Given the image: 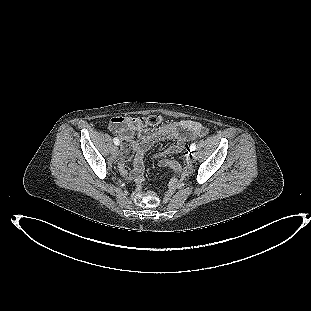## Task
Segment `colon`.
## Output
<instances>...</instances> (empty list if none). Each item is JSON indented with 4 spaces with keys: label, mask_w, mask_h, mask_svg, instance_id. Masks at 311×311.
Listing matches in <instances>:
<instances>
[{
    "label": "colon",
    "mask_w": 311,
    "mask_h": 311,
    "mask_svg": "<svg viewBox=\"0 0 311 311\" xmlns=\"http://www.w3.org/2000/svg\"><path fill=\"white\" fill-rule=\"evenodd\" d=\"M161 122L162 118L159 115H150L148 117L141 118V123L145 126H157ZM136 203L142 207L153 208L157 207L161 203V200L157 194L149 192L146 194H138L136 196Z\"/></svg>",
    "instance_id": "colon-1"
}]
</instances>
